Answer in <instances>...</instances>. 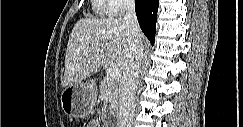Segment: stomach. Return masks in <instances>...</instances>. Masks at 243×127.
<instances>
[{
    "mask_svg": "<svg viewBox=\"0 0 243 127\" xmlns=\"http://www.w3.org/2000/svg\"><path fill=\"white\" fill-rule=\"evenodd\" d=\"M97 89L90 81L75 82L61 93V107L69 117L83 118L88 116L95 105Z\"/></svg>",
    "mask_w": 243,
    "mask_h": 127,
    "instance_id": "1",
    "label": "stomach"
}]
</instances>
